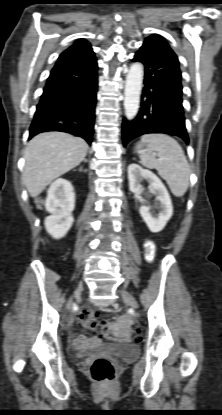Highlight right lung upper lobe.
Returning a JSON list of instances; mask_svg holds the SVG:
<instances>
[{
    "mask_svg": "<svg viewBox=\"0 0 222 415\" xmlns=\"http://www.w3.org/2000/svg\"><path fill=\"white\" fill-rule=\"evenodd\" d=\"M94 53L91 45L84 39H79L66 49L59 57L81 56Z\"/></svg>",
    "mask_w": 222,
    "mask_h": 415,
    "instance_id": "1",
    "label": "right lung upper lobe"
}]
</instances>
